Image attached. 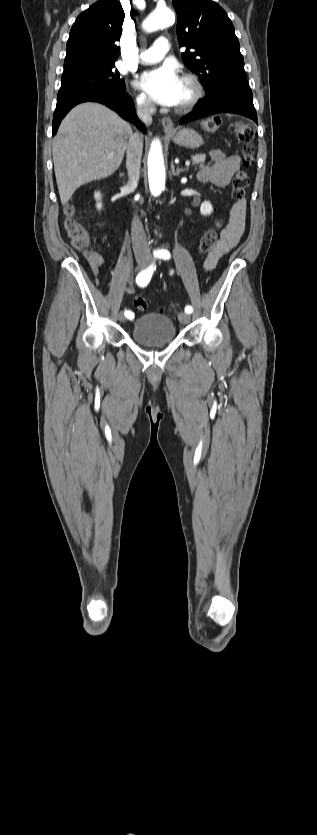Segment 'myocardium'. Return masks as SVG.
I'll return each mask as SVG.
<instances>
[{
	"label": "myocardium",
	"instance_id": "1",
	"mask_svg": "<svg viewBox=\"0 0 317 835\" xmlns=\"http://www.w3.org/2000/svg\"><path fill=\"white\" fill-rule=\"evenodd\" d=\"M182 81L186 83L190 90V95L182 104L176 106V111L179 113H186L192 110L202 99L204 90L199 79L193 74H185Z\"/></svg>",
	"mask_w": 317,
	"mask_h": 835
}]
</instances>
